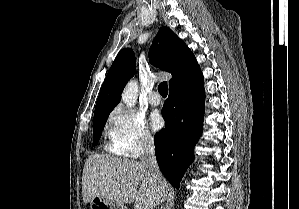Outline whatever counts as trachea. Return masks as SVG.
<instances>
[{"mask_svg": "<svg viewBox=\"0 0 299 209\" xmlns=\"http://www.w3.org/2000/svg\"><path fill=\"white\" fill-rule=\"evenodd\" d=\"M158 91L162 96H167L168 94V85L167 82H161L158 86Z\"/></svg>", "mask_w": 299, "mask_h": 209, "instance_id": "3493384b", "label": "trachea"}]
</instances>
